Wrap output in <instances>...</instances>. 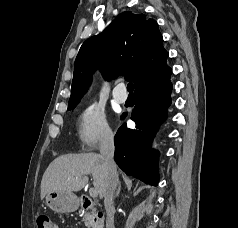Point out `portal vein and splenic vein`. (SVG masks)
Listing matches in <instances>:
<instances>
[{"label":"portal vein and splenic vein","instance_id":"18ae733b","mask_svg":"<svg viewBox=\"0 0 238 228\" xmlns=\"http://www.w3.org/2000/svg\"><path fill=\"white\" fill-rule=\"evenodd\" d=\"M89 194L92 198H96L98 196V192L96 188H90L89 189Z\"/></svg>","mask_w":238,"mask_h":228}]
</instances>
